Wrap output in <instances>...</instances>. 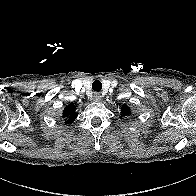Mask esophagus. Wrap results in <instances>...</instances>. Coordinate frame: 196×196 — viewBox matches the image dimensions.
I'll return each mask as SVG.
<instances>
[{"label": "esophagus", "instance_id": "esophagus-1", "mask_svg": "<svg viewBox=\"0 0 196 196\" xmlns=\"http://www.w3.org/2000/svg\"><path fill=\"white\" fill-rule=\"evenodd\" d=\"M101 98H102V96H101L100 93H94V94H93V99H94L95 101H100Z\"/></svg>", "mask_w": 196, "mask_h": 196}]
</instances>
